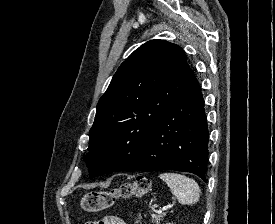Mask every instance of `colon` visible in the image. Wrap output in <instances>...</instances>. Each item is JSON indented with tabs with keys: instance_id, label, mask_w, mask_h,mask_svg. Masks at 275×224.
Wrapping results in <instances>:
<instances>
[{
	"instance_id": "obj_1",
	"label": "colon",
	"mask_w": 275,
	"mask_h": 224,
	"mask_svg": "<svg viewBox=\"0 0 275 224\" xmlns=\"http://www.w3.org/2000/svg\"><path fill=\"white\" fill-rule=\"evenodd\" d=\"M151 187L150 180L138 176L134 181L126 182L110 191H92L81 200V207L86 212H100L108 209L118 199H131L145 195Z\"/></svg>"
}]
</instances>
